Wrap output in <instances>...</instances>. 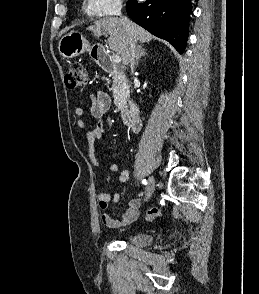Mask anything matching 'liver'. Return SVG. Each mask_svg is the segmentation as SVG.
<instances>
[{"instance_id": "liver-1", "label": "liver", "mask_w": 259, "mask_h": 294, "mask_svg": "<svg viewBox=\"0 0 259 294\" xmlns=\"http://www.w3.org/2000/svg\"><path fill=\"white\" fill-rule=\"evenodd\" d=\"M88 30L92 31L96 37L108 34V47L120 55L123 65L129 63L128 49L131 39L136 43H147L153 39L148 31L133 22H131L130 29L127 30L121 19L116 17L99 19L89 26Z\"/></svg>"}]
</instances>
